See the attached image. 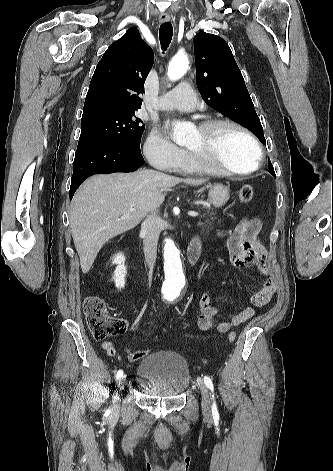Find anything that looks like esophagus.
I'll list each match as a JSON object with an SVG mask.
<instances>
[{"instance_id": "esophagus-1", "label": "esophagus", "mask_w": 333, "mask_h": 471, "mask_svg": "<svg viewBox=\"0 0 333 471\" xmlns=\"http://www.w3.org/2000/svg\"><path fill=\"white\" fill-rule=\"evenodd\" d=\"M169 20H170V16H169V15L163 14V15H160V17H159V21H160L161 23L168 22Z\"/></svg>"}]
</instances>
